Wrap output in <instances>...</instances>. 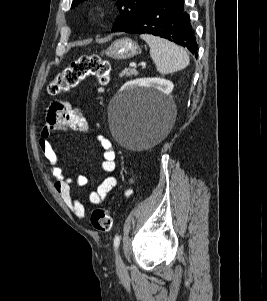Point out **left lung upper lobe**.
Listing matches in <instances>:
<instances>
[{"label":"left lung upper lobe","mask_w":267,"mask_h":301,"mask_svg":"<svg viewBox=\"0 0 267 301\" xmlns=\"http://www.w3.org/2000/svg\"><path fill=\"white\" fill-rule=\"evenodd\" d=\"M84 0H73L72 8L77 6L80 2ZM116 5L120 11V15L116 18L114 26L112 28L113 32L118 31L122 26L134 20V18L142 12L145 6L152 0H115Z\"/></svg>","instance_id":"left-lung-upper-lobe-1"}]
</instances>
